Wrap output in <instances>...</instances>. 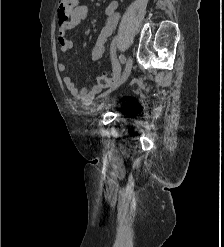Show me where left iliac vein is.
<instances>
[{
  "label": "left iliac vein",
  "instance_id": "1",
  "mask_svg": "<svg viewBox=\"0 0 224 247\" xmlns=\"http://www.w3.org/2000/svg\"><path fill=\"white\" fill-rule=\"evenodd\" d=\"M132 66H133V61H132V58L129 57L127 59L123 74H122V76L120 78V81H119L120 84L124 83L127 80V78L129 77V75L131 73Z\"/></svg>",
  "mask_w": 224,
  "mask_h": 247
}]
</instances>
